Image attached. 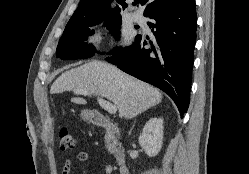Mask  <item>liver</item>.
<instances>
[{
  "instance_id": "obj_1",
  "label": "liver",
  "mask_w": 249,
  "mask_h": 174,
  "mask_svg": "<svg viewBox=\"0 0 249 174\" xmlns=\"http://www.w3.org/2000/svg\"><path fill=\"white\" fill-rule=\"evenodd\" d=\"M65 91H73L75 94L89 91L109 99L118 109L119 116L128 119L162 101L158 89L101 61H90L59 76L50 92L55 94ZM72 102L86 104L83 98H72Z\"/></svg>"
}]
</instances>
